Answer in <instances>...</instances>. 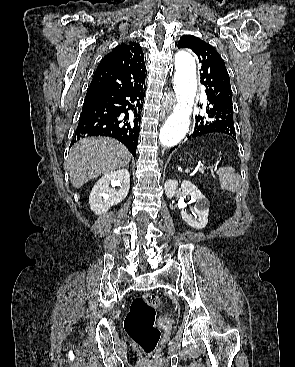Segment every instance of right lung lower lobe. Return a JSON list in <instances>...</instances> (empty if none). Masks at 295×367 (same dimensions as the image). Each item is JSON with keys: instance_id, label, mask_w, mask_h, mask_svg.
<instances>
[{"instance_id": "right-lung-lower-lobe-1", "label": "right lung lower lobe", "mask_w": 295, "mask_h": 367, "mask_svg": "<svg viewBox=\"0 0 295 367\" xmlns=\"http://www.w3.org/2000/svg\"><path fill=\"white\" fill-rule=\"evenodd\" d=\"M144 95V85L121 91H88L71 145L85 136H109L135 156Z\"/></svg>"}]
</instances>
